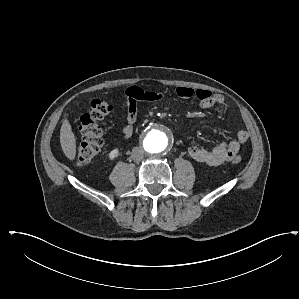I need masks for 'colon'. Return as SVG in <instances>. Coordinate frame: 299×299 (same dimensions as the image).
<instances>
[{"instance_id": "colon-1", "label": "colon", "mask_w": 299, "mask_h": 299, "mask_svg": "<svg viewBox=\"0 0 299 299\" xmlns=\"http://www.w3.org/2000/svg\"><path fill=\"white\" fill-rule=\"evenodd\" d=\"M112 111V106L103 99H94L89 110L80 118L79 129L83 140L77 149V164L80 166L90 163L103 146V130L99 122ZM242 158L235 155L232 163L239 164Z\"/></svg>"}]
</instances>
